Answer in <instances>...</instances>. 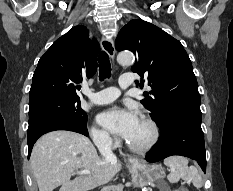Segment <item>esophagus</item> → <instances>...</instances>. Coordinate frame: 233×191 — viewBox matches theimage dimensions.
Returning a JSON list of instances; mask_svg holds the SVG:
<instances>
[{
    "mask_svg": "<svg viewBox=\"0 0 233 191\" xmlns=\"http://www.w3.org/2000/svg\"><path fill=\"white\" fill-rule=\"evenodd\" d=\"M101 47L109 55L110 59L114 63V66L117 67L114 61L115 60V48H114V43L112 39H110L109 37L103 36L101 39ZM130 161L133 162L135 160L130 159Z\"/></svg>",
    "mask_w": 233,
    "mask_h": 191,
    "instance_id": "obj_1",
    "label": "esophagus"
}]
</instances>
